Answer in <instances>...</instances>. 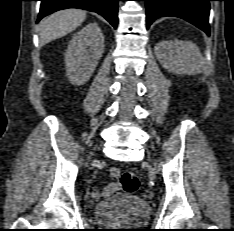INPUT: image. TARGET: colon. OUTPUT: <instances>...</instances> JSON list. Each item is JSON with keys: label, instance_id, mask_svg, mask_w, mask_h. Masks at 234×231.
Returning <instances> with one entry per match:
<instances>
[{"label": "colon", "instance_id": "1", "mask_svg": "<svg viewBox=\"0 0 234 231\" xmlns=\"http://www.w3.org/2000/svg\"><path fill=\"white\" fill-rule=\"evenodd\" d=\"M111 177L119 179L122 189L126 193H134L139 189V179L132 171L120 172L118 169H112Z\"/></svg>", "mask_w": 234, "mask_h": 231}]
</instances>
